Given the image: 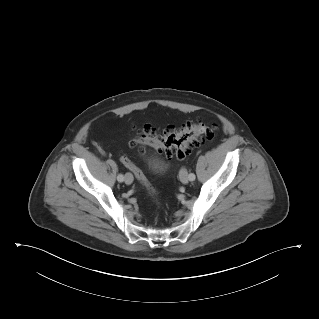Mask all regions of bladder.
Segmentation results:
<instances>
[{"mask_svg": "<svg viewBox=\"0 0 319 319\" xmlns=\"http://www.w3.org/2000/svg\"><path fill=\"white\" fill-rule=\"evenodd\" d=\"M150 169L155 173H163L166 170V163L159 156H154L149 161Z\"/></svg>", "mask_w": 319, "mask_h": 319, "instance_id": "obj_1", "label": "bladder"}]
</instances>
